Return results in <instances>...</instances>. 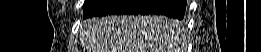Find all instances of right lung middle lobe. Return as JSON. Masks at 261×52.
<instances>
[{"label": "right lung middle lobe", "mask_w": 261, "mask_h": 52, "mask_svg": "<svg viewBox=\"0 0 261 52\" xmlns=\"http://www.w3.org/2000/svg\"><path fill=\"white\" fill-rule=\"evenodd\" d=\"M105 2V0H85V3L83 5V10L86 13L92 11L93 9H95L96 7L100 6L101 4H103ZM172 23L180 25L182 24V22H179V19L173 18V19H169ZM182 20V19H181Z\"/></svg>", "instance_id": "1"}]
</instances>
